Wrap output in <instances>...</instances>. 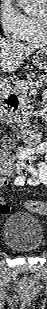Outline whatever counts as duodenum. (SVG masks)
Instances as JSON below:
<instances>
[{
	"label": "duodenum",
	"mask_w": 47,
	"mask_h": 309,
	"mask_svg": "<svg viewBox=\"0 0 47 309\" xmlns=\"http://www.w3.org/2000/svg\"><path fill=\"white\" fill-rule=\"evenodd\" d=\"M18 108L17 102L5 101L1 110L3 121L15 132L28 146H35L40 140V133L32 129H23L15 123L13 115Z\"/></svg>",
	"instance_id": "1"
}]
</instances>
